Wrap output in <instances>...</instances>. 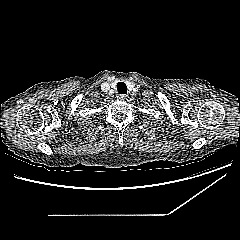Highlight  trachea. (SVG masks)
Listing matches in <instances>:
<instances>
[{"label":"trachea","mask_w":240,"mask_h":240,"mask_svg":"<svg viewBox=\"0 0 240 240\" xmlns=\"http://www.w3.org/2000/svg\"><path fill=\"white\" fill-rule=\"evenodd\" d=\"M117 91L120 93V94H126L127 93V86L125 83L123 82H119L117 84Z\"/></svg>","instance_id":"obj_1"}]
</instances>
